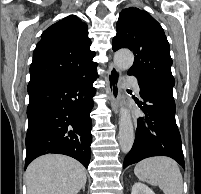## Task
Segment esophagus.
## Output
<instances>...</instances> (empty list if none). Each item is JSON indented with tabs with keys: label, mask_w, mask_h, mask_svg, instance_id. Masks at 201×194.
Segmentation results:
<instances>
[{
	"label": "esophagus",
	"mask_w": 201,
	"mask_h": 194,
	"mask_svg": "<svg viewBox=\"0 0 201 194\" xmlns=\"http://www.w3.org/2000/svg\"><path fill=\"white\" fill-rule=\"evenodd\" d=\"M120 77L121 72L113 64H110L107 74V89L109 93L111 107L115 114H117L119 110Z\"/></svg>",
	"instance_id": "1"
}]
</instances>
